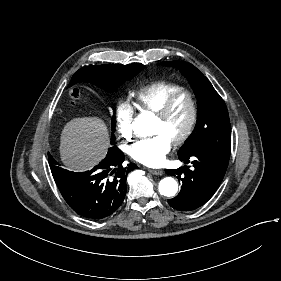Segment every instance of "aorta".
Segmentation results:
<instances>
[{"mask_svg":"<svg viewBox=\"0 0 281 281\" xmlns=\"http://www.w3.org/2000/svg\"><path fill=\"white\" fill-rule=\"evenodd\" d=\"M134 131L139 136H149L153 133L152 117L148 114L139 115L134 122ZM161 195L173 197L178 191L177 181L172 177L163 178L158 185Z\"/></svg>","mask_w":281,"mask_h":281,"instance_id":"aorta-1","label":"aorta"}]
</instances>
